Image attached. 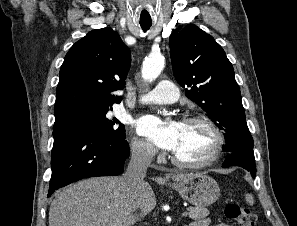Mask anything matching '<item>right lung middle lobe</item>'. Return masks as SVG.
Wrapping results in <instances>:
<instances>
[{
    "mask_svg": "<svg viewBox=\"0 0 297 226\" xmlns=\"http://www.w3.org/2000/svg\"><path fill=\"white\" fill-rule=\"evenodd\" d=\"M109 110H89L79 112L63 119L55 121L54 126L76 125L88 128L98 134L112 138H125V128L116 118L108 119L106 114Z\"/></svg>",
    "mask_w": 297,
    "mask_h": 226,
    "instance_id": "1",
    "label": "right lung middle lobe"
}]
</instances>
